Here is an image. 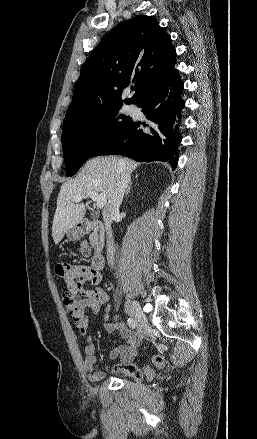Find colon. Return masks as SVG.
<instances>
[{"mask_svg": "<svg viewBox=\"0 0 257 439\" xmlns=\"http://www.w3.org/2000/svg\"><path fill=\"white\" fill-rule=\"evenodd\" d=\"M80 253L82 255H88L90 253V248L86 243L81 244ZM82 297L83 295L78 291H67L63 294V303L71 315L75 314L79 310L82 302ZM152 361L155 365L159 366L162 363V358L159 356H155L153 357ZM119 374L137 381H141L144 378H150L152 376V371L148 368L140 369L135 364L130 363L123 367L119 371Z\"/></svg>", "mask_w": 257, "mask_h": 439, "instance_id": "5ec220e1", "label": "colon"}]
</instances>
